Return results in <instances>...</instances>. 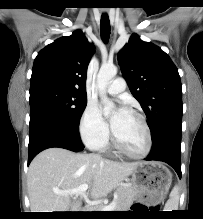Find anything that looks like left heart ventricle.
I'll use <instances>...</instances> for the list:
<instances>
[{"instance_id":"left-heart-ventricle-1","label":"left heart ventricle","mask_w":203,"mask_h":219,"mask_svg":"<svg viewBox=\"0 0 203 219\" xmlns=\"http://www.w3.org/2000/svg\"><path fill=\"white\" fill-rule=\"evenodd\" d=\"M112 128L121 144L131 152L140 153L145 148L146 134L141 121L128 112L119 117L112 116Z\"/></svg>"}]
</instances>
